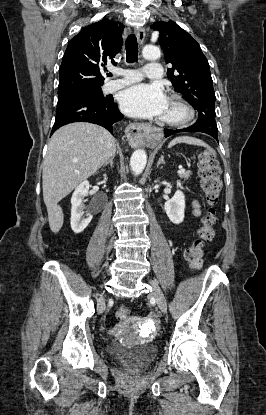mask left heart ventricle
<instances>
[{
  "label": "left heart ventricle",
  "mask_w": 266,
  "mask_h": 415,
  "mask_svg": "<svg viewBox=\"0 0 266 415\" xmlns=\"http://www.w3.org/2000/svg\"><path fill=\"white\" fill-rule=\"evenodd\" d=\"M182 114L181 110L175 106H173L171 103L168 104V107L163 114L162 118H178Z\"/></svg>",
  "instance_id": "b2bd125f"
}]
</instances>
